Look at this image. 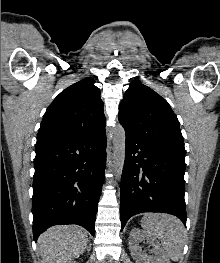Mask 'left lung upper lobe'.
Wrapping results in <instances>:
<instances>
[{
	"mask_svg": "<svg viewBox=\"0 0 220 263\" xmlns=\"http://www.w3.org/2000/svg\"><path fill=\"white\" fill-rule=\"evenodd\" d=\"M118 119L126 134L185 158L177 116L164 98L138 80L126 90Z\"/></svg>",
	"mask_w": 220,
	"mask_h": 263,
	"instance_id": "1",
	"label": "left lung upper lobe"
}]
</instances>
